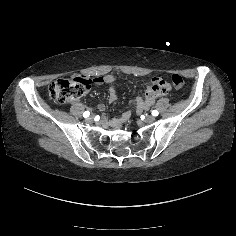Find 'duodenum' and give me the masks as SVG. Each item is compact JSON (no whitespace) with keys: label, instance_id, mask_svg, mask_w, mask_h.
<instances>
[{"label":"duodenum","instance_id":"obj_1","mask_svg":"<svg viewBox=\"0 0 236 236\" xmlns=\"http://www.w3.org/2000/svg\"><path fill=\"white\" fill-rule=\"evenodd\" d=\"M158 85H159V86H162L161 83H158L156 86L153 87V89H155V87H157ZM156 93H159V94H160V91H153V90H150V91H149V96L151 97L152 95H155ZM150 97H148L147 99H141L140 101H138V104H140V105L143 104L144 101L150 99Z\"/></svg>","mask_w":236,"mask_h":236}]
</instances>
